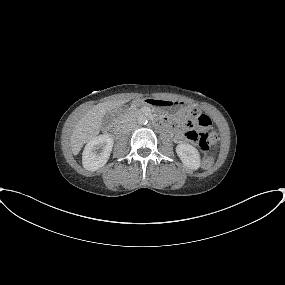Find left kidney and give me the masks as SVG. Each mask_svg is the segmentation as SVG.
I'll use <instances>...</instances> for the list:
<instances>
[{
    "label": "left kidney",
    "instance_id": "obj_1",
    "mask_svg": "<svg viewBox=\"0 0 285 285\" xmlns=\"http://www.w3.org/2000/svg\"><path fill=\"white\" fill-rule=\"evenodd\" d=\"M176 153L182 163L190 169L197 170L200 167V154L198 150L190 144H179Z\"/></svg>",
    "mask_w": 285,
    "mask_h": 285
}]
</instances>
